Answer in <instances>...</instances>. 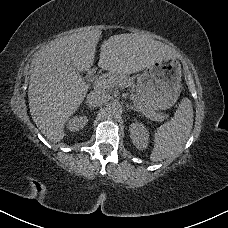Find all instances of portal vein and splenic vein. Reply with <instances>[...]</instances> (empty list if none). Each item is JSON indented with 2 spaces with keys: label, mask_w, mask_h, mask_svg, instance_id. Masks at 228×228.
I'll return each mask as SVG.
<instances>
[{
  "label": "portal vein and splenic vein",
  "mask_w": 228,
  "mask_h": 228,
  "mask_svg": "<svg viewBox=\"0 0 228 228\" xmlns=\"http://www.w3.org/2000/svg\"><path fill=\"white\" fill-rule=\"evenodd\" d=\"M93 84H94V87L95 88H102V89H110V88H113L114 87V84L112 81L108 80V79H105V78H97V79H94L93 80ZM130 102L133 103V105L138 109V113H141V116L145 117V118H148L149 117V121H158L156 118H154L153 115H149V112H146L145 110H143L142 107H140L138 105V103L132 99L131 97L128 99Z\"/></svg>",
  "instance_id": "1"
}]
</instances>
